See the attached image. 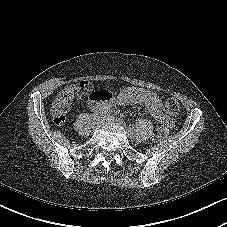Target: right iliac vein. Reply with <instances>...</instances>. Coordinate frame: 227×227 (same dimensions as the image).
I'll use <instances>...</instances> for the list:
<instances>
[{
	"label": "right iliac vein",
	"instance_id": "1",
	"mask_svg": "<svg viewBox=\"0 0 227 227\" xmlns=\"http://www.w3.org/2000/svg\"><path fill=\"white\" fill-rule=\"evenodd\" d=\"M99 122H100L99 120H96V121L93 123V127L98 126Z\"/></svg>",
	"mask_w": 227,
	"mask_h": 227
}]
</instances>
